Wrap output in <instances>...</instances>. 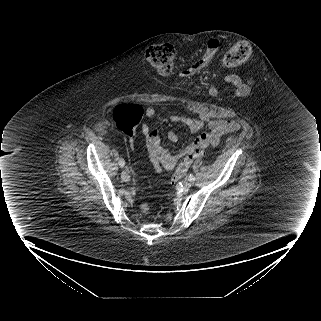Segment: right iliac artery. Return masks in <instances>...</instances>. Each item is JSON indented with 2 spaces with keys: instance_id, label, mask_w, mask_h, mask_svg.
I'll list each match as a JSON object with an SVG mask.
<instances>
[{
  "instance_id": "obj_1",
  "label": "right iliac artery",
  "mask_w": 321,
  "mask_h": 321,
  "mask_svg": "<svg viewBox=\"0 0 321 321\" xmlns=\"http://www.w3.org/2000/svg\"><path fill=\"white\" fill-rule=\"evenodd\" d=\"M118 163L121 167L125 165V161L123 159H120Z\"/></svg>"
}]
</instances>
